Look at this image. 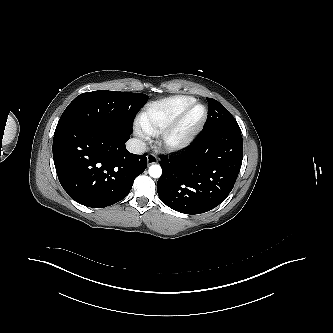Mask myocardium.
I'll return each instance as SVG.
<instances>
[{
	"mask_svg": "<svg viewBox=\"0 0 333 333\" xmlns=\"http://www.w3.org/2000/svg\"><path fill=\"white\" fill-rule=\"evenodd\" d=\"M196 107H202V117L192 127L182 132L188 115ZM207 118V107L198 101L192 102L191 104L186 106L165 129L160 132L158 138L159 146L163 150L168 152H176L185 149L195 140L197 135L201 132L207 121Z\"/></svg>",
	"mask_w": 333,
	"mask_h": 333,
	"instance_id": "myocardium-1",
	"label": "myocardium"
}]
</instances>
